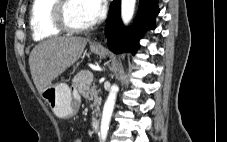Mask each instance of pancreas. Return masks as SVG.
Wrapping results in <instances>:
<instances>
[{
    "label": "pancreas",
    "mask_w": 227,
    "mask_h": 142,
    "mask_svg": "<svg viewBox=\"0 0 227 142\" xmlns=\"http://www.w3.org/2000/svg\"><path fill=\"white\" fill-rule=\"evenodd\" d=\"M88 73L89 71H81L76 74L72 79V84L84 98L93 101L91 108L93 114H96L100 109L101 98L96 91L95 86L91 87L90 83L87 81Z\"/></svg>",
    "instance_id": "pancreas-1"
}]
</instances>
